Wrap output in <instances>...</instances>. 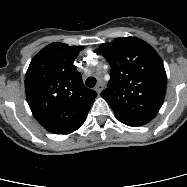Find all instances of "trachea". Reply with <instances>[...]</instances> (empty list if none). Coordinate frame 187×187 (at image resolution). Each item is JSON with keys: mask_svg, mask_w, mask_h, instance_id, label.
<instances>
[{"mask_svg": "<svg viewBox=\"0 0 187 187\" xmlns=\"http://www.w3.org/2000/svg\"><path fill=\"white\" fill-rule=\"evenodd\" d=\"M96 82H97V80L95 77H89V78H87L85 84L87 87L93 88L96 85Z\"/></svg>", "mask_w": 187, "mask_h": 187, "instance_id": "trachea-1", "label": "trachea"}]
</instances>
